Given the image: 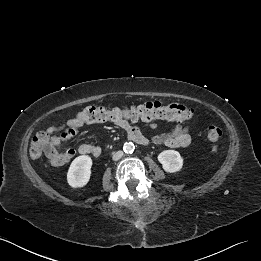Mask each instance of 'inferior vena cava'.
Here are the masks:
<instances>
[{
    "mask_svg": "<svg viewBox=\"0 0 261 261\" xmlns=\"http://www.w3.org/2000/svg\"><path fill=\"white\" fill-rule=\"evenodd\" d=\"M122 156H123V151H117V152H115V153L113 154L112 159H113L114 161H117V160L121 159Z\"/></svg>",
    "mask_w": 261,
    "mask_h": 261,
    "instance_id": "602c4592",
    "label": "inferior vena cava"
}]
</instances>
